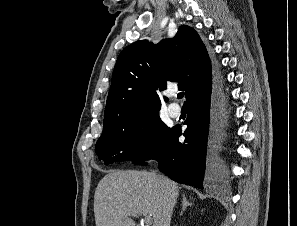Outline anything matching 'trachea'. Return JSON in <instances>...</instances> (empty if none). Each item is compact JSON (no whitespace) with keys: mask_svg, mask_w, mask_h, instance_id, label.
<instances>
[{"mask_svg":"<svg viewBox=\"0 0 297 226\" xmlns=\"http://www.w3.org/2000/svg\"><path fill=\"white\" fill-rule=\"evenodd\" d=\"M177 97H178V98H183V93H182V92H181V93H178V94H177Z\"/></svg>","mask_w":297,"mask_h":226,"instance_id":"obj_1","label":"trachea"}]
</instances>
